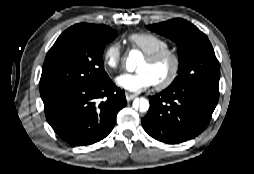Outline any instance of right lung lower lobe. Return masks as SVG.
<instances>
[{
    "label": "right lung lower lobe",
    "mask_w": 254,
    "mask_h": 174,
    "mask_svg": "<svg viewBox=\"0 0 254 174\" xmlns=\"http://www.w3.org/2000/svg\"><path fill=\"white\" fill-rule=\"evenodd\" d=\"M41 98L50 126L74 146L105 138L115 125L117 113L127 104L125 92L110 78L95 86L57 89Z\"/></svg>",
    "instance_id": "1"
}]
</instances>
